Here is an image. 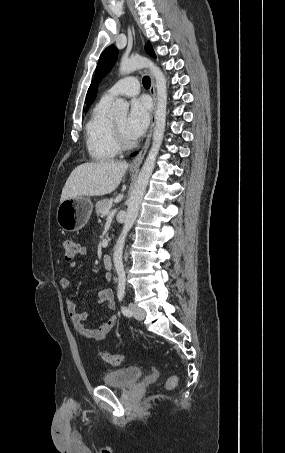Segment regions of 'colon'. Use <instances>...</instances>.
<instances>
[{
	"instance_id": "colon-1",
	"label": "colon",
	"mask_w": 285,
	"mask_h": 453,
	"mask_svg": "<svg viewBox=\"0 0 285 453\" xmlns=\"http://www.w3.org/2000/svg\"><path fill=\"white\" fill-rule=\"evenodd\" d=\"M64 258L67 261H72L77 255H79L80 246L73 238H66L63 240ZM101 358L103 361L110 365L118 366L123 363V356L121 354H111L102 352ZM177 384V377L171 375L166 382L167 388H173Z\"/></svg>"
}]
</instances>
